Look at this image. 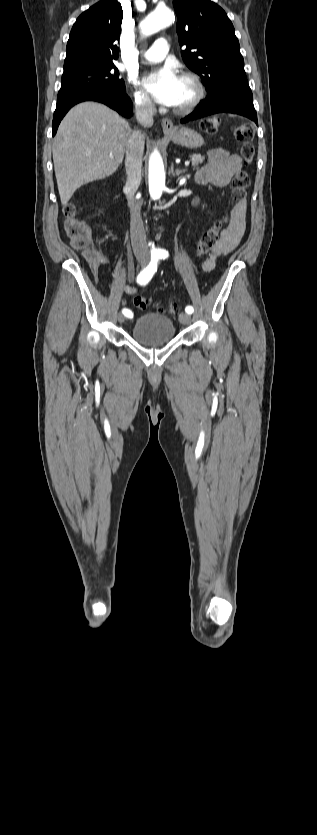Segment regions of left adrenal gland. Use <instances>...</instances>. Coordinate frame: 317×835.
<instances>
[{
  "label": "left adrenal gland",
  "instance_id": "a2214340",
  "mask_svg": "<svg viewBox=\"0 0 317 835\" xmlns=\"http://www.w3.org/2000/svg\"><path fill=\"white\" fill-rule=\"evenodd\" d=\"M171 172H172V175H173V176H179L181 173L186 172V170H185V169H183V170H179V169L177 168V169H176V171L174 172V166H173V164H172V166H171Z\"/></svg>",
  "mask_w": 317,
  "mask_h": 835
}]
</instances>
